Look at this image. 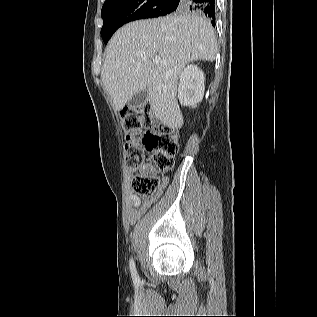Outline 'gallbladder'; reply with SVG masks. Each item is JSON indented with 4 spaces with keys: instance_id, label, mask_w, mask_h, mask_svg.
Here are the masks:
<instances>
[{
    "instance_id": "1",
    "label": "gallbladder",
    "mask_w": 317,
    "mask_h": 317,
    "mask_svg": "<svg viewBox=\"0 0 317 317\" xmlns=\"http://www.w3.org/2000/svg\"><path fill=\"white\" fill-rule=\"evenodd\" d=\"M149 99V94L147 90H143L139 93H136L129 101L128 105L131 108L143 107L147 104Z\"/></svg>"
}]
</instances>
